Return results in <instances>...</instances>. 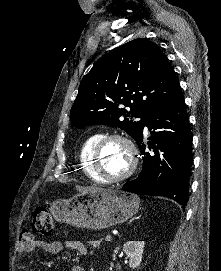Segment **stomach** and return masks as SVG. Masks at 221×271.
<instances>
[{"label": "stomach", "instance_id": "1", "mask_svg": "<svg viewBox=\"0 0 221 271\" xmlns=\"http://www.w3.org/2000/svg\"><path fill=\"white\" fill-rule=\"evenodd\" d=\"M140 199L135 193L114 187L109 191H92L86 197H57L53 213L60 221L84 229H104L127 221L137 213Z\"/></svg>", "mask_w": 221, "mask_h": 271}]
</instances>
